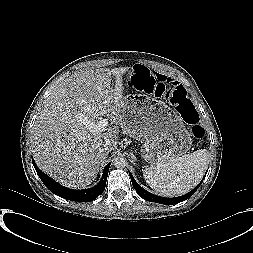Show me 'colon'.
<instances>
[{
    "mask_svg": "<svg viewBox=\"0 0 253 253\" xmlns=\"http://www.w3.org/2000/svg\"><path fill=\"white\" fill-rule=\"evenodd\" d=\"M127 75L131 81L134 79H148L150 72L143 66H134ZM157 94H165L176 106L182 118L192 125V135L196 140L204 137L205 131L199 125V117L195 107L190 102L186 90L174 82L161 83L157 86Z\"/></svg>",
    "mask_w": 253,
    "mask_h": 253,
    "instance_id": "1",
    "label": "colon"
}]
</instances>
